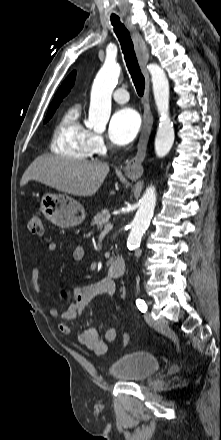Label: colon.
Returning <instances> with one entry per match:
<instances>
[{
	"instance_id": "5ec220e1",
	"label": "colon",
	"mask_w": 221,
	"mask_h": 440,
	"mask_svg": "<svg viewBox=\"0 0 221 440\" xmlns=\"http://www.w3.org/2000/svg\"><path fill=\"white\" fill-rule=\"evenodd\" d=\"M28 229L32 234H35L37 236L44 235L43 220L42 216L39 213L31 214L28 220ZM119 336L122 340L123 345L126 346L129 343L128 332L126 330H122L120 331Z\"/></svg>"
}]
</instances>
